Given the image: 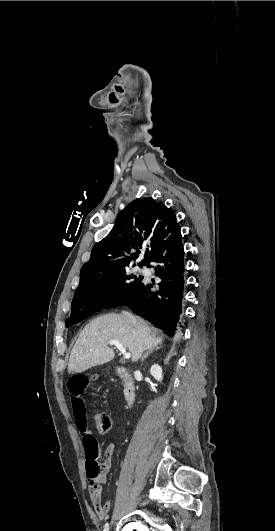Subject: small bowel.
<instances>
[{"label": "small bowel", "mask_w": 275, "mask_h": 531, "mask_svg": "<svg viewBox=\"0 0 275 531\" xmlns=\"http://www.w3.org/2000/svg\"><path fill=\"white\" fill-rule=\"evenodd\" d=\"M96 377L91 375L90 377L85 375H70L68 377V383L66 385L67 390L69 391L70 397L69 402L71 404V409L73 410V415L75 417H84L86 415V400L84 386L89 384V381L94 382ZM77 428L79 430L82 444L86 449L91 444L97 443L95 437L92 433L86 428V422L81 424L76 421ZM90 485L88 488V494L91 501V504L96 512V515L99 519L106 517L108 512L111 510L113 504L111 501H102L101 496V486L107 481L106 471L99 474L96 478H89Z\"/></svg>", "instance_id": "c3829d8e"}]
</instances>
